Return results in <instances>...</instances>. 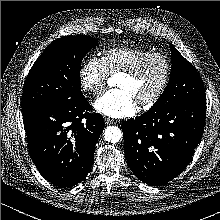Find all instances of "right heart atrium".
<instances>
[{
  "label": "right heart atrium",
  "mask_w": 220,
  "mask_h": 220,
  "mask_svg": "<svg viewBox=\"0 0 220 220\" xmlns=\"http://www.w3.org/2000/svg\"><path fill=\"white\" fill-rule=\"evenodd\" d=\"M109 73L102 60L97 56H90L79 70V83L84 92L98 95L103 90Z\"/></svg>",
  "instance_id": "right-heart-atrium-1"
}]
</instances>
